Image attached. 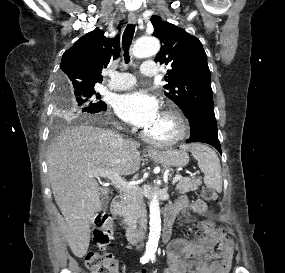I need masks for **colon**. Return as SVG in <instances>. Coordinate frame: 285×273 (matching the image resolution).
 <instances>
[{"instance_id": "colon-1", "label": "colon", "mask_w": 285, "mask_h": 273, "mask_svg": "<svg viewBox=\"0 0 285 273\" xmlns=\"http://www.w3.org/2000/svg\"><path fill=\"white\" fill-rule=\"evenodd\" d=\"M203 198L215 202L218 199L217 191L205 186L202 191ZM113 238V231L108 219L99 218L93 232V244L99 251H90L85 256V264L90 273H116L117 265L112 256L104 249Z\"/></svg>"}]
</instances>
